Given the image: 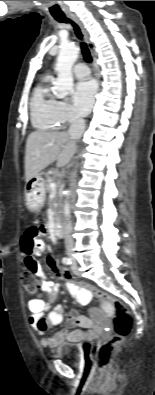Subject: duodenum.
<instances>
[{"label":"duodenum","instance_id":"410a0bca","mask_svg":"<svg viewBox=\"0 0 155 395\" xmlns=\"http://www.w3.org/2000/svg\"><path fill=\"white\" fill-rule=\"evenodd\" d=\"M53 228L57 236L62 237L64 235L63 225L59 217L54 219Z\"/></svg>","mask_w":155,"mask_h":395}]
</instances>
